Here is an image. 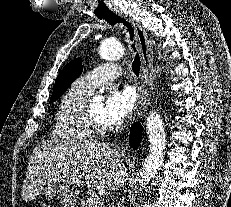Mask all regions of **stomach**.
<instances>
[{
    "mask_svg": "<svg viewBox=\"0 0 231 207\" xmlns=\"http://www.w3.org/2000/svg\"><path fill=\"white\" fill-rule=\"evenodd\" d=\"M42 194L49 202L57 197V200L63 207H75L78 200L76 192H73L64 184L57 186L54 182L46 185L42 190Z\"/></svg>",
    "mask_w": 231,
    "mask_h": 207,
    "instance_id": "0dacf381",
    "label": "stomach"
}]
</instances>
